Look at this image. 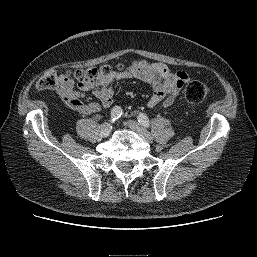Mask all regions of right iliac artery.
Returning a JSON list of instances; mask_svg holds the SVG:
<instances>
[{
    "mask_svg": "<svg viewBox=\"0 0 257 257\" xmlns=\"http://www.w3.org/2000/svg\"><path fill=\"white\" fill-rule=\"evenodd\" d=\"M122 115V109L119 106H115L111 111V121L115 122Z\"/></svg>",
    "mask_w": 257,
    "mask_h": 257,
    "instance_id": "1",
    "label": "right iliac artery"
}]
</instances>
